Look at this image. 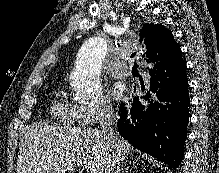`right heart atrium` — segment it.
Segmentation results:
<instances>
[{"mask_svg": "<svg viewBox=\"0 0 219 173\" xmlns=\"http://www.w3.org/2000/svg\"><path fill=\"white\" fill-rule=\"evenodd\" d=\"M113 115V107L106 96L90 106L77 107V119L80 124L94 125L108 120Z\"/></svg>", "mask_w": 219, "mask_h": 173, "instance_id": "1", "label": "right heart atrium"}]
</instances>
